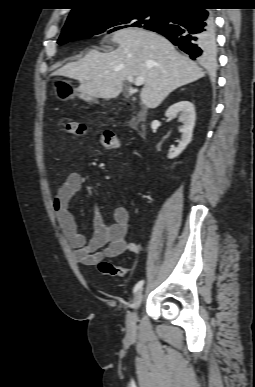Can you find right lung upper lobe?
Segmentation results:
<instances>
[{
	"label": "right lung upper lobe",
	"mask_w": 255,
	"mask_h": 387,
	"mask_svg": "<svg viewBox=\"0 0 255 387\" xmlns=\"http://www.w3.org/2000/svg\"><path fill=\"white\" fill-rule=\"evenodd\" d=\"M198 0H76V7L72 9L66 23L74 22L80 18L98 11L121 6H147L172 8Z\"/></svg>",
	"instance_id": "obj_1"
}]
</instances>
